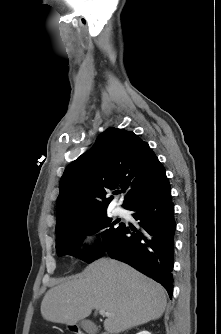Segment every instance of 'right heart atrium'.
Here are the masks:
<instances>
[{
  "instance_id": "right-heart-atrium-1",
  "label": "right heart atrium",
  "mask_w": 221,
  "mask_h": 334,
  "mask_svg": "<svg viewBox=\"0 0 221 334\" xmlns=\"http://www.w3.org/2000/svg\"><path fill=\"white\" fill-rule=\"evenodd\" d=\"M84 241L87 244L89 251L92 254H96L104 242L102 231L97 228L87 230L84 234Z\"/></svg>"
}]
</instances>
